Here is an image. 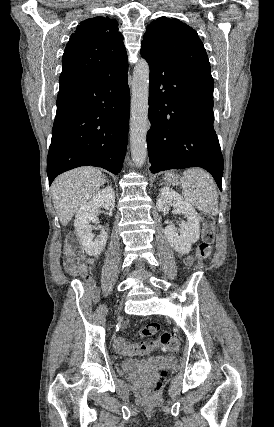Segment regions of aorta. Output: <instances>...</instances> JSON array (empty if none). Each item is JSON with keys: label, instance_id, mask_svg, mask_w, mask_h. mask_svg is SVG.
Wrapping results in <instances>:
<instances>
[{"label": "aorta", "instance_id": "1", "mask_svg": "<svg viewBox=\"0 0 274 427\" xmlns=\"http://www.w3.org/2000/svg\"><path fill=\"white\" fill-rule=\"evenodd\" d=\"M149 75L150 69L146 60H139L133 71L131 118H130V149L134 163L141 167L147 157L146 136L150 128L149 109Z\"/></svg>", "mask_w": 274, "mask_h": 427}]
</instances>
